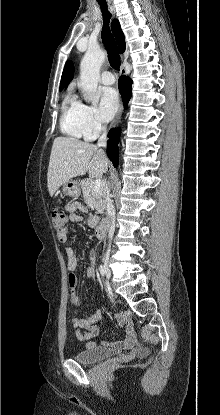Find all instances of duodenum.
Segmentation results:
<instances>
[{"label":"duodenum","instance_id":"1","mask_svg":"<svg viewBox=\"0 0 220 415\" xmlns=\"http://www.w3.org/2000/svg\"><path fill=\"white\" fill-rule=\"evenodd\" d=\"M109 223V218L105 217L101 220L100 223L96 226V234L99 239H104L107 232V227Z\"/></svg>","mask_w":220,"mask_h":415}]
</instances>
